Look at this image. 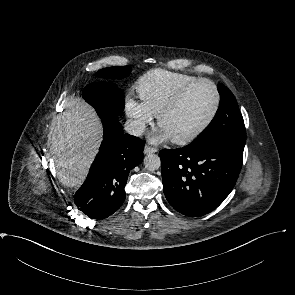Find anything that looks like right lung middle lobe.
I'll return each instance as SVG.
<instances>
[{"instance_id":"obj_1","label":"right lung middle lobe","mask_w":295,"mask_h":295,"mask_svg":"<svg viewBox=\"0 0 295 295\" xmlns=\"http://www.w3.org/2000/svg\"><path fill=\"white\" fill-rule=\"evenodd\" d=\"M129 66H117L101 69L97 77L106 79H121L130 74ZM83 98L94 107L100 118L118 119L124 110V99L121 91L111 82H95L83 90Z\"/></svg>"}]
</instances>
